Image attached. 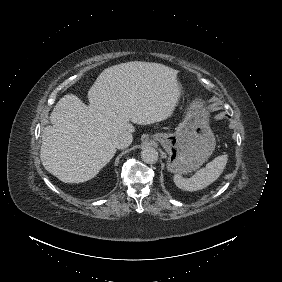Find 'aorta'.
I'll return each mask as SVG.
<instances>
[{
	"instance_id": "762f6f07",
	"label": "aorta",
	"mask_w": 282,
	"mask_h": 282,
	"mask_svg": "<svg viewBox=\"0 0 282 282\" xmlns=\"http://www.w3.org/2000/svg\"><path fill=\"white\" fill-rule=\"evenodd\" d=\"M141 158L147 164H154L158 160V152L154 147H145L141 151Z\"/></svg>"
}]
</instances>
